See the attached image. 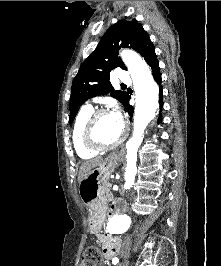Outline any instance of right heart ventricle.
<instances>
[{
    "label": "right heart ventricle",
    "instance_id": "right-heart-ventricle-1",
    "mask_svg": "<svg viewBox=\"0 0 221 266\" xmlns=\"http://www.w3.org/2000/svg\"><path fill=\"white\" fill-rule=\"evenodd\" d=\"M93 112L92 107L84 106L79 111L72 132V140L76 153L82 159H90L97 155L98 151L91 150L83 142V128L88 117Z\"/></svg>",
    "mask_w": 221,
    "mask_h": 266
}]
</instances>
